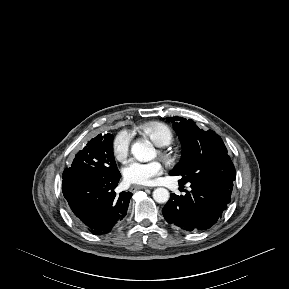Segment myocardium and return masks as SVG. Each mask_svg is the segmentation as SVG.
I'll list each match as a JSON object with an SVG mask.
<instances>
[{"label": "myocardium", "mask_w": 289, "mask_h": 289, "mask_svg": "<svg viewBox=\"0 0 289 289\" xmlns=\"http://www.w3.org/2000/svg\"><path fill=\"white\" fill-rule=\"evenodd\" d=\"M159 155L167 163H172L174 161V156H173L172 152L166 148H161L159 150Z\"/></svg>", "instance_id": "f54148a6"}]
</instances>
